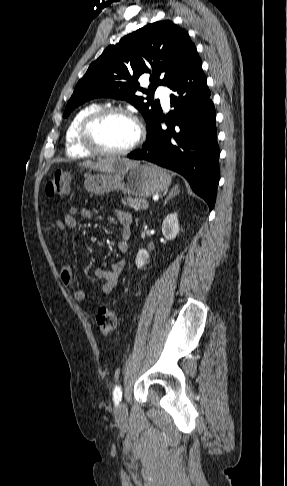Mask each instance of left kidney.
<instances>
[{
	"mask_svg": "<svg viewBox=\"0 0 287 486\" xmlns=\"http://www.w3.org/2000/svg\"><path fill=\"white\" fill-rule=\"evenodd\" d=\"M179 223L177 213L168 214L162 223V233L167 240H173L179 233ZM149 263V253L146 249H140L135 259L137 268H142Z\"/></svg>",
	"mask_w": 287,
	"mask_h": 486,
	"instance_id": "1",
	"label": "left kidney"
}]
</instances>
